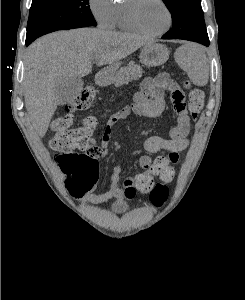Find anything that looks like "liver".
<instances>
[{
	"label": "liver",
	"mask_w": 245,
	"mask_h": 300,
	"mask_svg": "<svg viewBox=\"0 0 245 300\" xmlns=\"http://www.w3.org/2000/svg\"><path fill=\"white\" fill-rule=\"evenodd\" d=\"M151 44L144 37L101 29L58 31L33 42L27 51L24 99L28 117L44 137L57 109V83L68 77H84L98 66L114 65L139 48Z\"/></svg>",
	"instance_id": "obj_1"
}]
</instances>
